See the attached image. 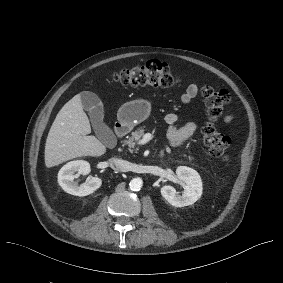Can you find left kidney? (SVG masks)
Masks as SVG:
<instances>
[{"label": "left kidney", "mask_w": 283, "mask_h": 283, "mask_svg": "<svg viewBox=\"0 0 283 283\" xmlns=\"http://www.w3.org/2000/svg\"><path fill=\"white\" fill-rule=\"evenodd\" d=\"M177 178L183 183L182 195L172 186L165 185L161 188L162 197L175 207H184L194 204L202 195V181L198 172L187 166L176 169Z\"/></svg>", "instance_id": "left-kidney-1"}]
</instances>
